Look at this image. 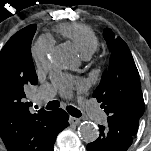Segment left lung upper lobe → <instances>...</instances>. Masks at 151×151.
I'll return each instance as SVG.
<instances>
[{"label":"left lung upper lobe","mask_w":151,"mask_h":151,"mask_svg":"<svg viewBox=\"0 0 151 151\" xmlns=\"http://www.w3.org/2000/svg\"><path fill=\"white\" fill-rule=\"evenodd\" d=\"M110 61L93 97L101 102L108 123L134 136L145 105L139 73L127 44L111 29L104 30Z\"/></svg>","instance_id":"obj_1"}]
</instances>
